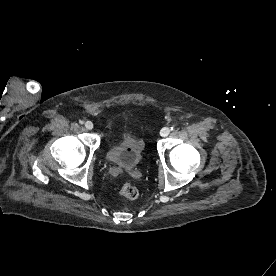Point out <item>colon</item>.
<instances>
[{
    "mask_svg": "<svg viewBox=\"0 0 276 276\" xmlns=\"http://www.w3.org/2000/svg\"><path fill=\"white\" fill-rule=\"evenodd\" d=\"M119 193L127 199H135L138 197V189L131 183H124L120 186Z\"/></svg>",
    "mask_w": 276,
    "mask_h": 276,
    "instance_id": "obj_1",
    "label": "colon"
}]
</instances>
